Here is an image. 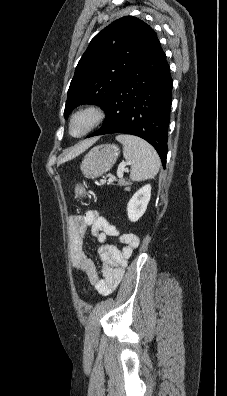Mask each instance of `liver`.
<instances>
[{"instance_id":"liver-1","label":"liver","mask_w":227,"mask_h":396,"mask_svg":"<svg viewBox=\"0 0 227 396\" xmlns=\"http://www.w3.org/2000/svg\"><path fill=\"white\" fill-rule=\"evenodd\" d=\"M95 140H96V139L88 140V141L82 142L80 145H78L77 147H75L69 154H67V155L60 161V163L65 162V161H68V160H70V159H72V158L78 156L79 154H81L82 152H84L87 148H89V147L95 142Z\"/></svg>"}]
</instances>
